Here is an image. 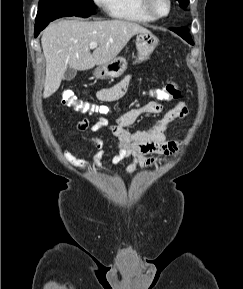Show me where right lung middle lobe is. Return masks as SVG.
I'll use <instances>...</instances> for the list:
<instances>
[{"instance_id": "right-lung-middle-lobe-1", "label": "right lung middle lobe", "mask_w": 243, "mask_h": 289, "mask_svg": "<svg viewBox=\"0 0 243 289\" xmlns=\"http://www.w3.org/2000/svg\"><path fill=\"white\" fill-rule=\"evenodd\" d=\"M56 12L75 16L93 15L95 14V7L93 0H40L39 14H53Z\"/></svg>"}]
</instances>
